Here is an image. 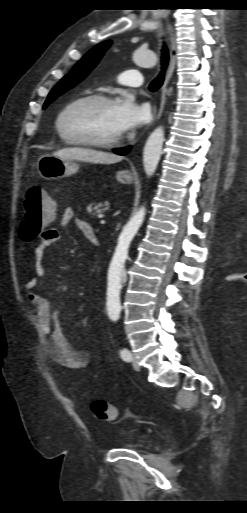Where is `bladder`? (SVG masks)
I'll use <instances>...</instances> for the list:
<instances>
[{
	"instance_id": "obj_1",
	"label": "bladder",
	"mask_w": 247,
	"mask_h": 513,
	"mask_svg": "<svg viewBox=\"0 0 247 513\" xmlns=\"http://www.w3.org/2000/svg\"><path fill=\"white\" fill-rule=\"evenodd\" d=\"M148 447V441L145 437L119 439L110 447V449H131L143 450Z\"/></svg>"
}]
</instances>
